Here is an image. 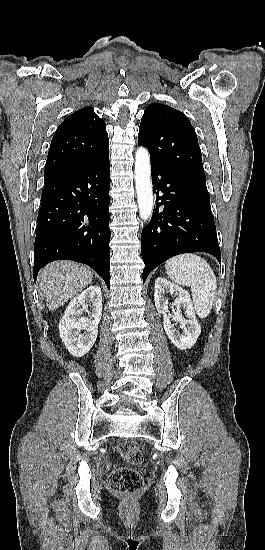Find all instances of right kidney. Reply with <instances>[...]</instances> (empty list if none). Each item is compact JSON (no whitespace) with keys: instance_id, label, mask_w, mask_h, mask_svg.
Listing matches in <instances>:
<instances>
[{"instance_id":"right-kidney-1","label":"right kidney","mask_w":265,"mask_h":550,"mask_svg":"<svg viewBox=\"0 0 265 550\" xmlns=\"http://www.w3.org/2000/svg\"><path fill=\"white\" fill-rule=\"evenodd\" d=\"M84 311L89 318L80 317ZM101 316L102 292L98 285L90 286L73 298L59 323L60 338L70 354L82 357L89 352L97 339Z\"/></svg>"}]
</instances>
